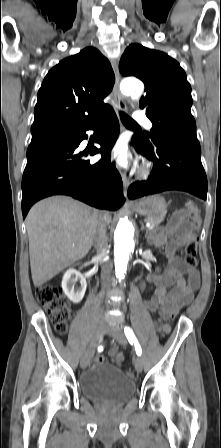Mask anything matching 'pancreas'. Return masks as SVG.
I'll list each match as a JSON object with an SVG mask.
<instances>
[{"label": "pancreas", "mask_w": 221, "mask_h": 448, "mask_svg": "<svg viewBox=\"0 0 221 448\" xmlns=\"http://www.w3.org/2000/svg\"><path fill=\"white\" fill-rule=\"evenodd\" d=\"M165 214H162V215H159V216H155V217H147L145 219V221L151 223V225L153 227H156L163 221V219L165 217Z\"/></svg>", "instance_id": "cf45deb5"}]
</instances>
